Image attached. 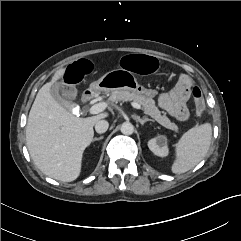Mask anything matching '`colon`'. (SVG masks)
<instances>
[{"label":"colon","instance_id":"1","mask_svg":"<svg viewBox=\"0 0 241 241\" xmlns=\"http://www.w3.org/2000/svg\"><path fill=\"white\" fill-rule=\"evenodd\" d=\"M120 64L124 70L135 71L139 75L158 74L165 67L161 58L148 56L143 53L126 54L121 58ZM94 69V62L88 57H82L65 67L66 75L58 82L63 85L76 83L83 76L91 74ZM193 97L196 112L202 114L205 110V103L198 88L193 90Z\"/></svg>","mask_w":241,"mask_h":241}]
</instances>
